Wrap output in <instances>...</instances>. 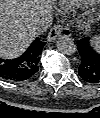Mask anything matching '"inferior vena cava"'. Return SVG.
<instances>
[{
  "label": "inferior vena cava",
  "instance_id": "602c4592",
  "mask_svg": "<svg viewBox=\"0 0 100 118\" xmlns=\"http://www.w3.org/2000/svg\"><path fill=\"white\" fill-rule=\"evenodd\" d=\"M52 25V17L46 16L44 18L39 19L33 24V30L36 34H41L46 32L49 27Z\"/></svg>",
  "mask_w": 100,
  "mask_h": 118
}]
</instances>
